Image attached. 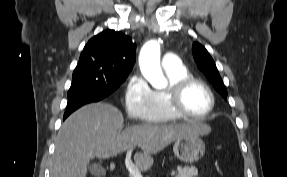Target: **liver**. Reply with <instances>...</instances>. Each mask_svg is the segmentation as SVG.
<instances>
[{
    "instance_id": "6515ba94",
    "label": "liver",
    "mask_w": 287,
    "mask_h": 177,
    "mask_svg": "<svg viewBox=\"0 0 287 177\" xmlns=\"http://www.w3.org/2000/svg\"><path fill=\"white\" fill-rule=\"evenodd\" d=\"M122 113L113 105L99 102L83 106L62 124L55 142L51 177H86L91 159H107L139 146L136 166L147 171L152 155L176 139L205 135L211 128L198 121L181 124H140L125 128Z\"/></svg>"
}]
</instances>
